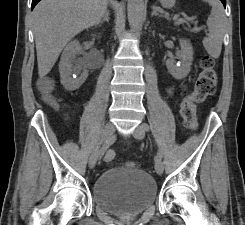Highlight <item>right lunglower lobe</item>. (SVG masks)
<instances>
[{
    "label": "right lung lower lobe",
    "instance_id": "obj_1",
    "mask_svg": "<svg viewBox=\"0 0 245 225\" xmlns=\"http://www.w3.org/2000/svg\"><path fill=\"white\" fill-rule=\"evenodd\" d=\"M40 0H32V9L35 7V5L39 2Z\"/></svg>",
    "mask_w": 245,
    "mask_h": 225
}]
</instances>
